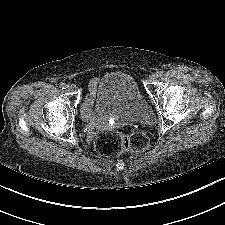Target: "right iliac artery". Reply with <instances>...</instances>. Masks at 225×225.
Returning a JSON list of instances; mask_svg holds the SVG:
<instances>
[{"mask_svg": "<svg viewBox=\"0 0 225 225\" xmlns=\"http://www.w3.org/2000/svg\"><path fill=\"white\" fill-rule=\"evenodd\" d=\"M60 88H61V89H66V88H67V85H66L65 83H61V84H60Z\"/></svg>", "mask_w": 225, "mask_h": 225, "instance_id": "1", "label": "right iliac artery"}]
</instances>
